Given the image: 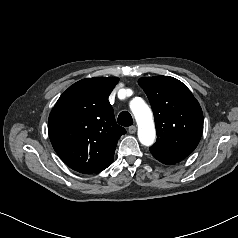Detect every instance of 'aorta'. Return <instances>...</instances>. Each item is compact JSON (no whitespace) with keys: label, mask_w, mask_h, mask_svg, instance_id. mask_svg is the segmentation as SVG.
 <instances>
[{"label":"aorta","mask_w":238,"mask_h":238,"mask_svg":"<svg viewBox=\"0 0 238 238\" xmlns=\"http://www.w3.org/2000/svg\"><path fill=\"white\" fill-rule=\"evenodd\" d=\"M130 109L138 125L139 141L145 146L152 145L156 139V130L151 109L141 98L133 99Z\"/></svg>","instance_id":"762f6f07"}]
</instances>
